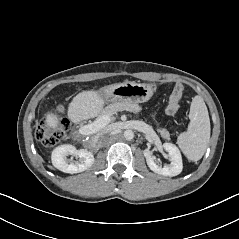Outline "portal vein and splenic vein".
Returning a JSON list of instances; mask_svg holds the SVG:
<instances>
[{"instance_id":"obj_1","label":"portal vein and splenic vein","mask_w":239,"mask_h":239,"mask_svg":"<svg viewBox=\"0 0 239 239\" xmlns=\"http://www.w3.org/2000/svg\"><path fill=\"white\" fill-rule=\"evenodd\" d=\"M111 119L112 117L110 114H104L100 116L97 120H95L93 123L85 125L82 130L85 134L96 133L97 131L108 125L111 122Z\"/></svg>"}]
</instances>
